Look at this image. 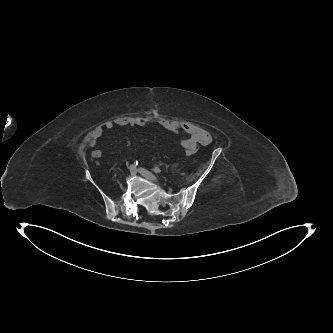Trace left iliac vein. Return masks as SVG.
I'll return each instance as SVG.
<instances>
[{
    "label": "left iliac vein",
    "instance_id": "obj_1",
    "mask_svg": "<svg viewBox=\"0 0 333 333\" xmlns=\"http://www.w3.org/2000/svg\"><path fill=\"white\" fill-rule=\"evenodd\" d=\"M136 172H137V170H136ZM138 172L142 176H144L145 178H147L148 180H150L152 182H155V183H159V179L153 173L149 172L148 170L143 169V168H139Z\"/></svg>",
    "mask_w": 333,
    "mask_h": 333
}]
</instances>
